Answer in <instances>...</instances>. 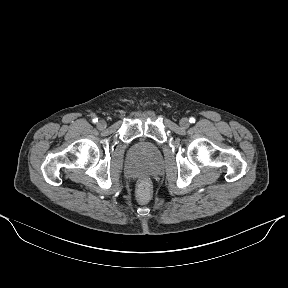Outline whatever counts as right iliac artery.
Returning <instances> with one entry per match:
<instances>
[{
  "instance_id": "82829eb1",
  "label": "right iliac artery",
  "mask_w": 288,
  "mask_h": 288,
  "mask_svg": "<svg viewBox=\"0 0 288 288\" xmlns=\"http://www.w3.org/2000/svg\"><path fill=\"white\" fill-rule=\"evenodd\" d=\"M92 121H93V123H96V122H98V119L94 118Z\"/></svg>"
}]
</instances>
